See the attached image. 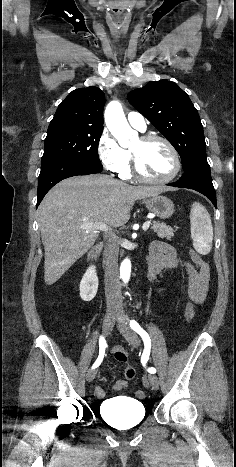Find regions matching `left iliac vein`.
<instances>
[{"label":"left iliac vein","mask_w":236,"mask_h":467,"mask_svg":"<svg viewBox=\"0 0 236 467\" xmlns=\"http://www.w3.org/2000/svg\"><path fill=\"white\" fill-rule=\"evenodd\" d=\"M118 329L124 338L133 346L138 347L140 345V340L137 334L131 329V327L126 323L118 324ZM149 381L154 390H158L160 381L157 375L151 374L149 375Z\"/></svg>","instance_id":"1"}]
</instances>
